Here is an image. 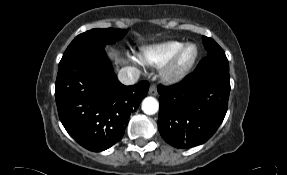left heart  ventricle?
<instances>
[{
  "label": "left heart ventricle",
  "instance_id": "b2bd125f",
  "mask_svg": "<svg viewBox=\"0 0 287 175\" xmlns=\"http://www.w3.org/2000/svg\"><path fill=\"white\" fill-rule=\"evenodd\" d=\"M192 54H193V48L187 49L181 56V63L182 64L187 63L192 57Z\"/></svg>",
  "mask_w": 287,
  "mask_h": 175
}]
</instances>
